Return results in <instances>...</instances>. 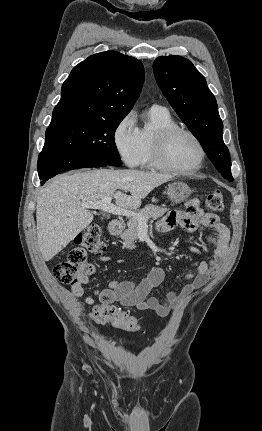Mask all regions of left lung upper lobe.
<instances>
[{"instance_id": "1", "label": "left lung upper lobe", "mask_w": 262, "mask_h": 431, "mask_svg": "<svg viewBox=\"0 0 262 431\" xmlns=\"http://www.w3.org/2000/svg\"><path fill=\"white\" fill-rule=\"evenodd\" d=\"M157 83L209 159L224 178L233 181L229 150L223 142V123L217 102L204 76L181 56H161L153 65Z\"/></svg>"}]
</instances>
